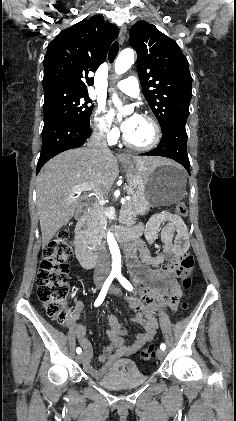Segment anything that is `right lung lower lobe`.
Returning <instances> with one entry per match:
<instances>
[{"instance_id":"right-lung-lower-lobe-1","label":"right lung lower lobe","mask_w":236,"mask_h":421,"mask_svg":"<svg viewBox=\"0 0 236 421\" xmlns=\"http://www.w3.org/2000/svg\"><path fill=\"white\" fill-rule=\"evenodd\" d=\"M90 134V128L71 124L67 121H57L43 127L42 148L37 163V173L55 155L68 149L80 147Z\"/></svg>"}]
</instances>
